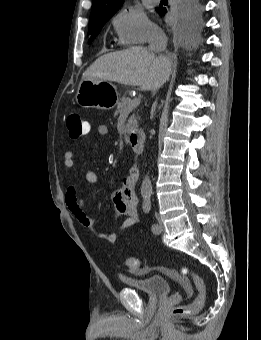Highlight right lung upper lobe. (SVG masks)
Returning a JSON list of instances; mask_svg holds the SVG:
<instances>
[{"instance_id":"1","label":"right lung upper lobe","mask_w":261,"mask_h":340,"mask_svg":"<svg viewBox=\"0 0 261 340\" xmlns=\"http://www.w3.org/2000/svg\"><path fill=\"white\" fill-rule=\"evenodd\" d=\"M123 0H93L89 24L107 17H112L122 5Z\"/></svg>"}]
</instances>
